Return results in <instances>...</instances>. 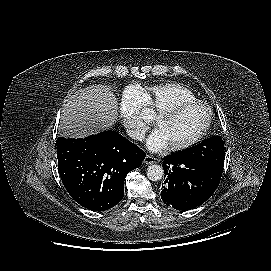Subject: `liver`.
Segmentation results:
<instances>
[{"mask_svg": "<svg viewBox=\"0 0 271 271\" xmlns=\"http://www.w3.org/2000/svg\"><path fill=\"white\" fill-rule=\"evenodd\" d=\"M118 102L105 85L87 87L70 97L62 109L60 130L74 138L111 128L118 118Z\"/></svg>", "mask_w": 271, "mask_h": 271, "instance_id": "liver-1", "label": "liver"}]
</instances>
